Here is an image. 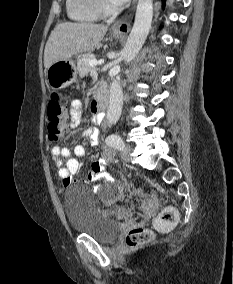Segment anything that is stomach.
<instances>
[{"mask_svg": "<svg viewBox=\"0 0 233 284\" xmlns=\"http://www.w3.org/2000/svg\"><path fill=\"white\" fill-rule=\"evenodd\" d=\"M113 37L120 38L118 33H112ZM77 68L72 58L53 63L46 71L47 83L52 89L64 88L77 80Z\"/></svg>", "mask_w": 233, "mask_h": 284, "instance_id": "stomach-1", "label": "stomach"}]
</instances>
